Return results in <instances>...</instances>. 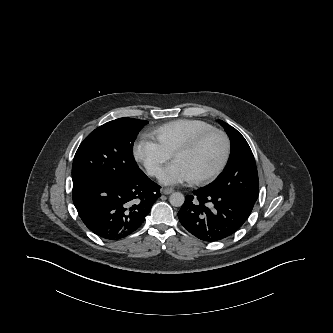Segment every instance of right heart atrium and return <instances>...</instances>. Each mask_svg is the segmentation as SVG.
I'll use <instances>...</instances> for the list:
<instances>
[{
    "instance_id": "d8ad5b80",
    "label": "right heart atrium",
    "mask_w": 333,
    "mask_h": 333,
    "mask_svg": "<svg viewBox=\"0 0 333 333\" xmlns=\"http://www.w3.org/2000/svg\"><path fill=\"white\" fill-rule=\"evenodd\" d=\"M133 155L152 177H159L165 164L171 158V154L147 136L141 137L136 142L133 149Z\"/></svg>"
}]
</instances>
